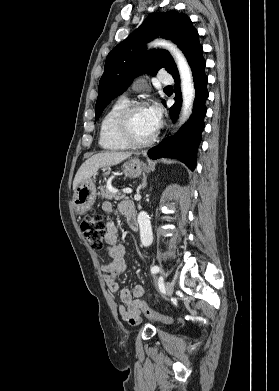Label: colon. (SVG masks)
Instances as JSON below:
<instances>
[{
	"label": "colon",
	"mask_w": 279,
	"mask_h": 391,
	"mask_svg": "<svg viewBox=\"0 0 279 391\" xmlns=\"http://www.w3.org/2000/svg\"><path fill=\"white\" fill-rule=\"evenodd\" d=\"M81 230L93 249L100 250L103 248L107 229L101 215L93 214L85 217L81 223ZM140 309L150 318L161 320L166 323L172 322L171 318L164 317L152 311L144 300L140 302Z\"/></svg>",
	"instance_id": "5ec220e1"
}]
</instances>
